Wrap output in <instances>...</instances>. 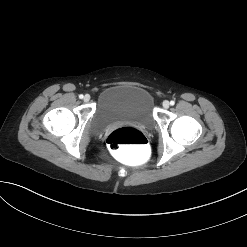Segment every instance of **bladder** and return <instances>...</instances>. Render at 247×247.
Segmentation results:
<instances>
[{"mask_svg":"<svg viewBox=\"0 0 247 247\" xmlns=\"http://www.w3.org/2000/svg\"><path fill=\"white\" fill-rule=\"evenodd\" d=\"M120 122L142 127L154 124L153 99L146 89L135 85H114L101 91L90 120L91 130L101 132Z\"/></svg>","mask_w":247,"mask_h":247,"instance_id":"obj_1","label":"bladder"}]
</instances>
